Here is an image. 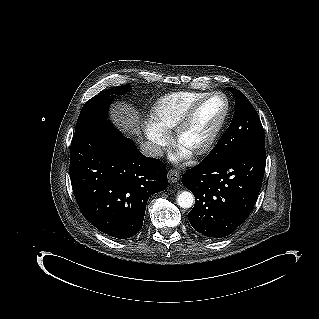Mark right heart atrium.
<instances>
[{
	"label": "right heart atrium",
	"mask_w": 319,
	"mask_h": 319,
	"mask_svg": "<svg viewBox=\"0 0 319 319\" xmlns=\"http://www.w3.org/2000/svg\"><path fill=\"white\" fill-rule=\"evenodd\" d=\"M161 127H159L154 122H150L145 127V136L148 140V143L155 154H159L162 148L164 147L167 136Z\"/></svg>",
	"instance_id": "d8ad5b80"
}]
</instances>
